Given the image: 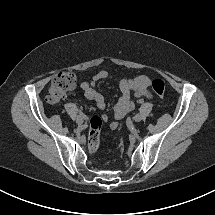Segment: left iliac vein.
<instances>
[{
	"label": "left iliac vein",
	"mask_w": 215,
	"mask_h": 215,
	"mask_svg": "<svg viewBox=\"0 0 215 215\" xmlns=\"http://www.w3.org/2000/svg\"><path fill=\"white\" fill-rule=\"evenodd\" d=\"M133 120L135 122H140L142 120V115L141 114H136L133 116Z\"/></svg>",
	"instance_id": "4c4485c4"
}]
</instances>
